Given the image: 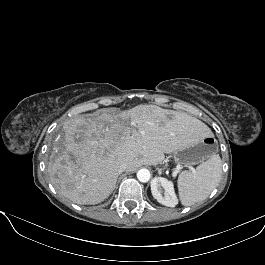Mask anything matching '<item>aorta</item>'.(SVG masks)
<instances>
[{"label": "aorta", "instance_id": "1", "mask_svg": "<svg viewBox=\"0 0 265 265\" xmlns=\"http://www.w3.org/2000/svg\"><path fill=\"white\" fill-rule=\"evenodd\" d=\"M151 174L148 169H140L137 172V178L140 182L146 183L150 180Z\"/></svg>", "mask_w": 265, "mask_h": 265}]
</instances>
